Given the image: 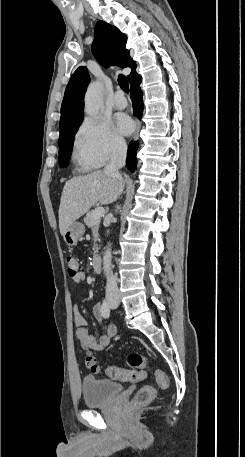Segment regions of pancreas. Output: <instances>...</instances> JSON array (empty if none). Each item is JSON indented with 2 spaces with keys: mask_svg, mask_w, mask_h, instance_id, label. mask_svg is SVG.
<instances>
[{
  "mask_svg": "<svg viewBox=\"0 0 245 457\" xmlns=\"http://www.w3.org/2000/svg\"><path fill=\"white\" fill-rule=\"evenodd\" d=\"M92 212H93V210H89V212H86L84 222H85V224H88L89 229H92V233H93V237H94V245H93L92 251H94V255H96V253H98V247L96 245V241H100V239H98L100 218H93Z\"/></svg>",
  "mask_w": 245,
  "mask_h": 457,
  "instance_id": "cf45deb5",
  "label": "pancreas"
}]
</instances>
